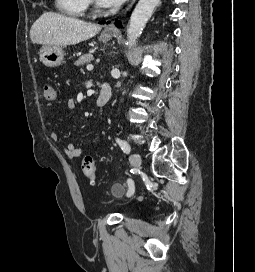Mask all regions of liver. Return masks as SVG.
<instances>
[{
	"label": "liver",
	"instance_id": "liver-1",
	"mask_svg": "<svg viewBox=\"0 0 255 272\" xmlns=\"http://www.w3.org/2000/svg\"><path fill=\"white\" fill-rule=\"evenodd\" d=\"M101 26L59 13L45 12L32 25L30 38L34 44L66 46L94 37Z\"/></svg>",
	"mask_w": 255,
	"mask_h": 272
}]
</instances>
